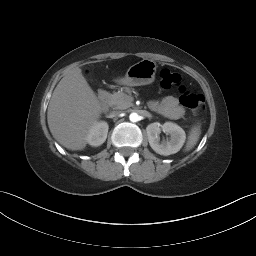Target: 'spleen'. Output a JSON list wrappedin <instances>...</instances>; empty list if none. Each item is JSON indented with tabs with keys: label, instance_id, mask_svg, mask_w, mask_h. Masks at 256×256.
Instances as JSON below:
<instances>
[{
	"label": "spleen",
	"instance_id": "1",
	"mask_svg": "<svg viewBox=\"0 0 256 256\" xmlns=\"http://www.w3.org/2000/svg\"><path fill=\"white\" fill-rule=\"evenodd\" d=\"M200 133H201V131H200L199 125L192 128L189 138H188L187 145H186V151H189L196 145V143L199 139Z\"/></svg>",
	"mask_w": 256,
	"mask_h": 256
}]
</instances>
